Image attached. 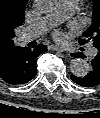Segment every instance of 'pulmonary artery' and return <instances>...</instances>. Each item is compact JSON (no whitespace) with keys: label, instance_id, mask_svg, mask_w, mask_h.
I'll return each mask as SVG.
<instances>
[{"label":"pulmonary artery","instance_id":"1","mask_svg":"<svg viewBox=\"0 0 100 118\" xmlns=\"http://www.w3.org/2000/svg\"><path fill=\"white\" fill-rule=\"evenodd\" d=\"M79 1L80 0H61L60 9L58 12L43 17L38 22L25 28V39H36L39 36L43 35L45 32H47L56 23H59L60 21L68 18L77 9ZM95 52L96 50L93 47L89 49V55L93 56L95 55Z\"/></svg>","mask_w":100,"mask_h":118}]
</instances>
